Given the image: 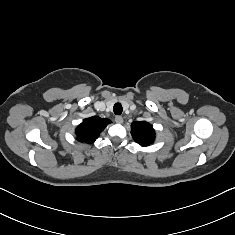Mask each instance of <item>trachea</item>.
<instances>
[{
    "label": "trachea",
    "mask_w": 235,
    "mask_h": 235,
    "mask_svg": "<svg viewBox=\"0 0 235 235\" xmlns=\"http://www.w3.org/2000/svg\"><path fill=\"white\" fill-rule=\"evenodd\" d=\"M113 111L116 115H120L123 111L122 105L120 103H116L113 107Z\"/></svg>",
    "instance_id": "trachea-1"
}]
</instances>
